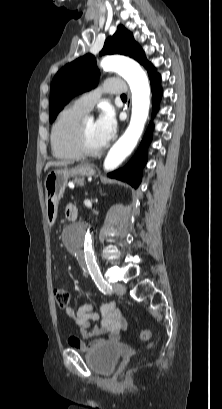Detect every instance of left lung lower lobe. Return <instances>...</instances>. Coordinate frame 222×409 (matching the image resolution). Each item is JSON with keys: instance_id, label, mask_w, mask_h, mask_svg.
I'll return each instance as SVG.
<instances>
[{"instance_id": "obj_1", "label": "left lung lower lobe", "mask_w": 222, "mask_h": 409, "mask_svg": "<svg viewBox=\"0 0 222 409\" xmlns=\"http://www.w3.org/2000/svg\"><path fill=\"white\" fill-rule=\"evenodd\" d=\"M161 77L159 74H154L150 76L151 87H152V98H153V115L156 113L157 104L162 95V90L160 87ZM152 124L149 125L146 134L141 142L139 149L137 150L134 157L130 162L122 169L115 172L109 173L108 176L111 178H117L126 181L131 186L137 188L141 181V169L145 166L146 158V148L151 141Z\"/></svg>"}]
</instances>
